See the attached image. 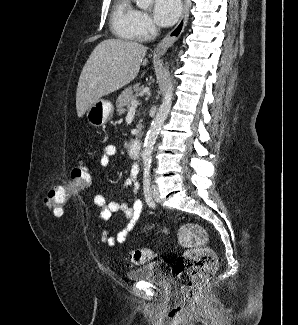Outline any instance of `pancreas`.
<instances>
[{
	"mask_svg": "<svg viewBox=\"0 0 298 325\" xmlns=\"http://www.w3.org/2000/svg\"><path fill=\"white\" fill-rule=\"evenodd\" d=\"M142 86H140V82L134 84V86H127L122 90L121 94H118V98H116V112L117 114H124L126 112L128 106H131L132 100H136L139 92H141ZM127 106V108H125ZM137 130H141L142 128V118H140L138 124H136Z\"/></svg>",
	"mask_w": 298,
	"mask_h": 325,
	"instance_id": "pancreas-1",
	"label": "pancreas"
}]
</instances>
